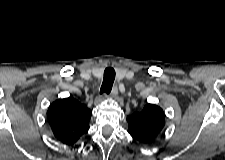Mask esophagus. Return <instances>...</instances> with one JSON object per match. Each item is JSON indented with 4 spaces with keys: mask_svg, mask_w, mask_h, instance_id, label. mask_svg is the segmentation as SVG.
I'll use <instances>...</instances> for the list:
<instances>
[{
    "mask_svg": "<svg viewBox=\"0 0 225 160\" xmlns=\"http://www.w3.org/2000/svg\"><path fill=\"white\" fill-rule=\"evenodd\" d=\"M118 95V89L116 86L113 87L112 91H111V94H110V97L111 98H116ZM102 97H105V95H103Z\"/></svg>",
    "mask_w": 225,
    "mask_h": 160,
    "instance_id": "obj_1",
    "label": "esophagus"
}]
</instances>
